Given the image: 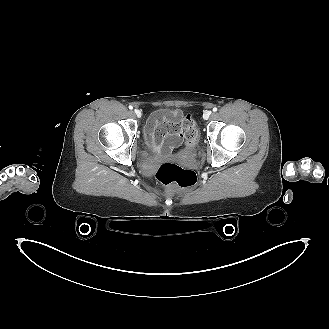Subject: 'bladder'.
Here are the masks:
<instances>
[{"mask_svg":"<svg viewBox=\"0 0 329 329\" xmlns=\"http://www.w3.org/2000/svg\"><path fill=\"white\" fill-rule=\"evenodd\" d=\"M193 153L192 152H190V153H186L185 154V157H187V158H192L193 157Z\"/></svg>","mask_w":329,"mask_h":329,"instance_id":"1","label":"bladder"}]
</instances>
